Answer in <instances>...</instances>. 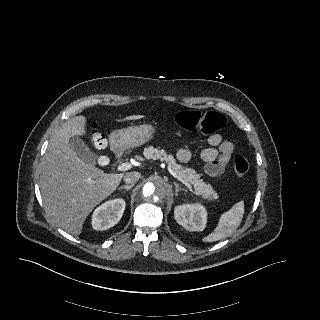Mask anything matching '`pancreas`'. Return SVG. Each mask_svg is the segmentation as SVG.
I'll return each mask as SVG.
<instances>
[{"mask_svg": "<svg viewBox=\"0 0 320 320\" xmlns=\"http://www.w3.org/2000/svg\"><path fill=\"white\" fill-rule=\"evenodd\" d=\"M144 156L147 159L165 161L173 171L181 176L186 182L194 186V193L201 196L208 201H214L218 198L217 193L211 187V185L203 182L200 179V175L194 169L187 168L176 162L171 154L160 148H154L152 146L144 149Z\"/></svg>", "mask_w": 320, "mask_h": 320, "instance_id": "obj_1", "label": "pancreas"}]
</instances>
